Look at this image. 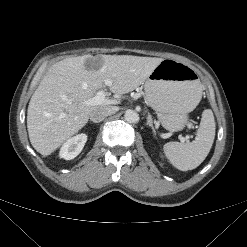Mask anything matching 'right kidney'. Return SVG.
Listing matches in <instances>:
<instances>
[{
    "mask_svg": "<svg viewBox=\"0 0 247 247\" xmlns=\"http://www.w3.org/2000/svg\"><path fill=\"white\" fill-rule=\"evenodd\" d=\"M86 141V134H78L68 139L61 147L59 156L66 160L74 159L82 151Z\"/></svg>",
    "mask_w": 247,
    "mask_h": 247,
    "instance_id": "ca27d5eb",
    "label": "right kidney"
}]
</instances>
